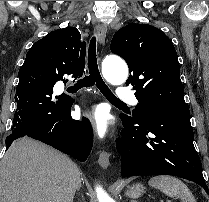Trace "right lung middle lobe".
Segmentation results:
<instances>
[{
    "label": "right lung middle lobe",
    "mask_w": 209,
    "mask_h": 202,
    "mask_svg": "<svg viewBox=\"0 0 209 202\" xmlns=\"http://www.w3.org/2000/svg\"><path fill=\"white\" fill-rule=\"evenodd\" d=\"M37 78L40 80L41 83H45L49 87H53V85L56 82L53 79H51L49 77H45V76H40V77H37Z\"/></svg>",
    "instance_id": "dd1d6c3e"
}]
</instances>
